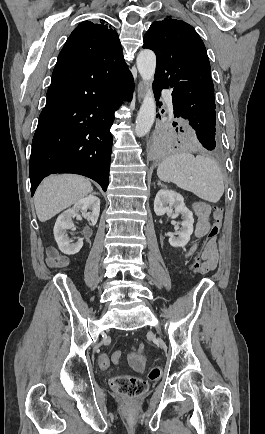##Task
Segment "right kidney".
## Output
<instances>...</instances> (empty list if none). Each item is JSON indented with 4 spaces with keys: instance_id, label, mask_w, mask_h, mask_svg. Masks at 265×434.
I'll return each mask as SVG.
<instances>
[{
    "instance_id": "right-kidney-1",
    "label": "right kidney",
    "mask_w": 265,
    "mask_h": 434,
    "mask_svg": "<svg viewBox=\"0 0 265 434\" xmlns=\"http://www.w3.org/2000/svg\"><path fill=\"white\" fill-rule=\"evenodd\" d=\"M87 210H90V212H87ZM79 212H82V216L90 220L92 226H95L100 212L99 198H96L94 194H89L86 198H80L73 208H69V210H66V212L58 216L57 222L53 228V234L59 250H61L63 254H67V256L77 254L83 246L82 240H79L76 244H71V240H69L67 234V230L75 228L72 218H78V216H80Z\"/></svg>"
}]
</instances>
